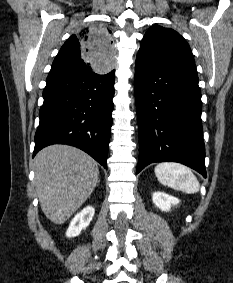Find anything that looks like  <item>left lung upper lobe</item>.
I'll use <instances>...</instances> for the list:
<instances>
[{
    "label": "left lung upper lobe",
    "instance_id": "1",
    "mask_svg": "<svg viewBox=\"0 0 233 283\" xmlns=\"http://www.w3.org/2000/svg\"><path fill=\"white\" fill-rule=\"evenodd\" d=\"M140 54L159 60H186L194 63L191 49L176 31L154 25L144 35Z\"/></svg>",
    "mask_w": 233,
    "mask_h": 283
}]
</instances>
